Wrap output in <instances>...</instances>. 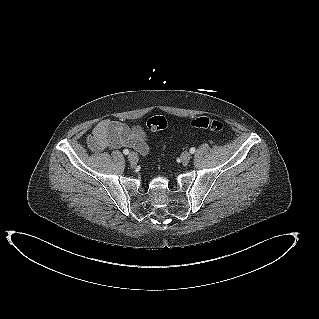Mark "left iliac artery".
<instances>
[{"instance_id":"left-iliac-artery-1","label":"left iliac artery","mask_w":319,"mask_h":319,"mask_svg":"<svg viewBox=\"0 0 319 319\" xmlns=\"http://www.w3.org/2000/svg\"><path fill=\"white\" fill-rule=\"evenodd\" d=\"M196 149L194 147L190 148V153L193 154L195 153Z\"/></svg>"}]
</instances>
